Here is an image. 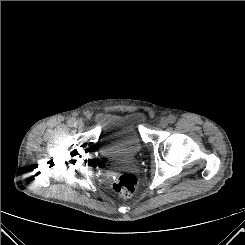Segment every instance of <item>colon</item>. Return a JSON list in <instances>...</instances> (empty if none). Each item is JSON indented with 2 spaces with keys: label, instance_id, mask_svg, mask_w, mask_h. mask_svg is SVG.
I'll return each mask as SVG.
<instances>
[{
  "label": "colon",
  "instance_id": "obj_1",
  "mask_svg": "<svg viewBox=\"0 0 245 245\" xmlns=\"http://www.w3.org/2000/svg\"><path fill=\"white\" fill-rule=\"evenodd\" d=\"M138 187V179L132 173L118 175L113 181L114 190L123 198L131 197Z\"/></svg>",
  "mask_w": 245,
  "mask_h": 245
}]
</instances>
